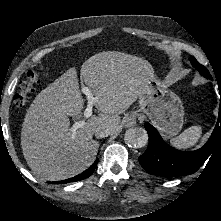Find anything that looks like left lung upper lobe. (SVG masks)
<instances>
[{
	"label": "left lung upper lobe",
	"mask_w": 221,
	"mask_h": 221,
	"mask_svg": "<svg viewBox=\"0 0 221 221\" xmlns=\"http://www.w3.org/2000/svg\"><path fill=\"white\" fill-rule=\"evenodd\" d=\"M190 61L193 67H195L200 73H202L204 76L208 78L211 77L208 70L203 65L199 64L195 58L190 57Z\"/></svg>",
	"instance_id": "left-lung-upper-lobe-1"
}]
</instances>
